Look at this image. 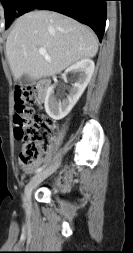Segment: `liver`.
I'll use <instances>...</instances> for the list:
<instances>
[{"label": "liver", "instance_id": "liver-1", "mask_svg": "<svg viewBox=\"0 0 133 253\" xmlns=\"http://www.w3.org/2000/svg\"><path fill=\"white\" fill-rule=\"evenodd\" d=\"M45 48L51 61L39 54ZM98 51L94 32L78 21L51 11H34L19 17L7 37L6 56L18 80L53 76Z\"/></svg>", "mask_w": 133, "mask_h": 253}]
</instances>
